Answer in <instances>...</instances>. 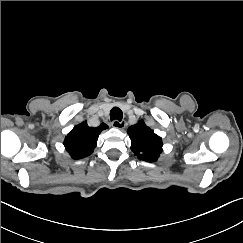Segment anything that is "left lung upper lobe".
<instances>
[{
    "label": "left lung upper lobe",
    "instance_id": "1",
    "mask_svg": "<svg viewBox=\"0 0 243 243\" xmlns=\"http://www.w3.org/2000/svg\"><path fill=\"white\" fill-rule=\"evenodd\" d=\"M132 142L131 150L140 159L147 162L156 161L162 152V139L141 120L128 128Z\"/></svg>",
    "mask_w": 243,
    "mask_h": 243
}]
</instances>
